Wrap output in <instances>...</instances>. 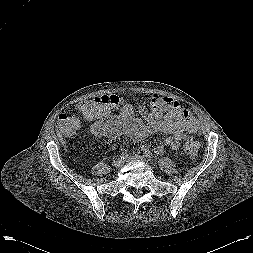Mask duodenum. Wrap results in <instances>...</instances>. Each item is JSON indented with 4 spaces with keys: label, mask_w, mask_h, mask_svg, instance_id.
<instances>
[{
    "label": "duodenum",
    "mask_w": 253,
    "mask_h": 253,
    "mask_svg": "<svg viewBox=\"0 0 253 253\" xmlns=\"http://www.w3.org/2000/svg\"><path fill=\"white\" fill-rule=\"evenodd\" d=\"M115 127H116V124L114 122H112V121L104 123V129L106 131L113 130Z\"/></svg>",
    "instance_id": "410a0bca"
}]
</instances>
